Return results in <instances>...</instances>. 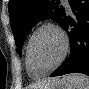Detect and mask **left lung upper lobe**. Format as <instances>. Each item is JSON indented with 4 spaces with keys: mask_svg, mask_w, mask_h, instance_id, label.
<instances>
[{
    "mask_svg": "<svg viewBox=\"0 0 89 89\" xmlns=\"http://www.w3.org/2000/svg\"><path fill=\"white\" fill-rule=\"evenodd\" d=\"M8 10L20 56L25 38L37 22L51 18L63 25L65 19V11L59 0H9Z\"/></svg>",
    "mask_w": 89,
    "mask_h": 89,
    "instance_id": "1",
    "label": "left lung upper lobe"
}]
</instances>
